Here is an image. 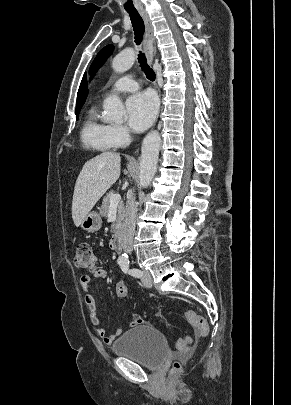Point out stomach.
Listing matches in <instances>:
<instances>
[{
	"mask_svg": "<svg viewBox=\"0 0 291 405\" xmlns=\"http://www.w3.org/2000/svg\"><path fill=\"white\" fill-rule=\"evenodd\" d=\"M102 219L98 212L91 211L82 220L80 226L83 230L88 232H95L101 228Z\"/></svg>",
	"mask_w": 291,
	"mask_h": 405,
	"instance_id": "stomach-1",
	"label": "stomach"
}]
</instances>
